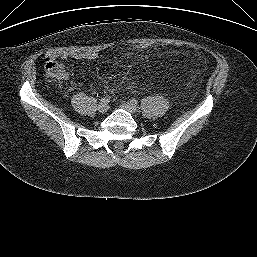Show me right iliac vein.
<instances>
[{"instance_id":"obj_1","label":"right iliac vein","mask_w":257,"mask_h":257,"mask_svg":"<svg viewBox=\"0 0 257 257\" xmlns=\"http://www.w3.org/2000/svg\"><path fill=\"white\" fill-rule=\"evenodd\" d=\"M97 109H98V111H99L100 113H106V112L108 111V109H109V106H108V104H106V103L100 102V103L98 104Z\"/></svg>"}]
</instances>
